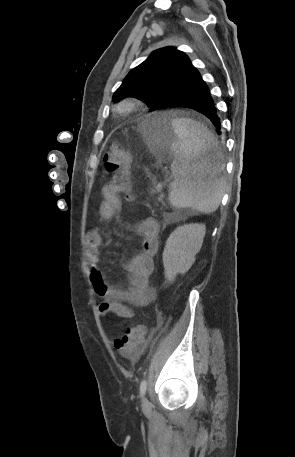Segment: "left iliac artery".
Instances as JSON below:
<instances>
[{"instance_id": "left-iliac-artery-1", "label": "left iliac artery", "mask_w": 295, "mask_h": 457, "mask_svg": "<svg viewBox=\"0 0 295 457\" xmlns=\"http://www.w3.org/2000/svg\"><path fill=\"white\" fill-rule=\"evenodd\" d=\"M146 389H147V382H146V380H142L140 383V395L141 396L145 395Z\"/></svg>"}]
</instances>
